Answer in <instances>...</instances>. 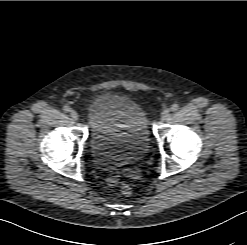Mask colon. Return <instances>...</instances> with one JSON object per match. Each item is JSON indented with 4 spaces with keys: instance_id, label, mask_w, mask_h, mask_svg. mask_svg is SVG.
<instances>
[{
    "instance_id": "5ec220e1",
    "label": "colon",
    "mask_w": 247,
    "mask_h": 245,
    "mask_svg": "<svg viewBox=\"0 0 247 245\" xmlns=\"http://www.w3.org/2000/svg\"><path fill=\"white\" fill-rule=\"evenodd\" d=\"M120 191L124 196H130L132 193V188L129 184H122L120 187Z\"/></svg>"
}]
</instances>
